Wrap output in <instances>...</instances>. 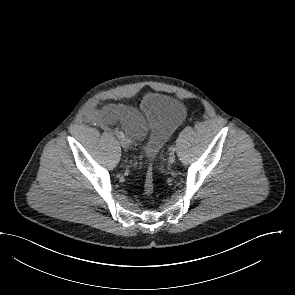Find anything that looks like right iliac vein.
<instances>
[{
	"label": "right iliac vein",
	"instance_id": "obj_1",
	"mask_svg": "<svg viewBox=\"0 0 295 295\" xmlns=\"http://www.w3.org/2000/svg\"><path fill=\"white\" fill-rule=\"evenodd\" d=\"M120 143H121V146H122L124 149L129 148L130 145H131V141H130L128 138H126V137L122 138L121 141H120Z\"/></svg>",
	"mask_w": 295,
	"mask_h": 295
}]
</instances>
